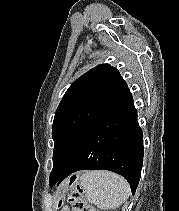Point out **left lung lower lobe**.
I'll return each instance as SVG.
<instances>
[{"label": "left lung lower lobe", "mask_w": 179, "mask_h": 211, "mask_svg": "<svg viewBox=\"0 0 179 211\" xmlns=\"http://www.w3.org/2000/svg\"><path fill=\"white\" fill-rule=\"evenodd\" d=\"M142 165L143 134L132 94L126 85L99 116L65 171L50 177V186L79 170H109L122 175L134 194Z\"/></svg>", "instance_id": "obj_1"}]
</instances>
